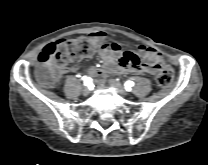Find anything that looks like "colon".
Here are the masks:
<instances>
[{"instance_id":"obj_1","label":"colon","mask_w":208,"mask_h":165,"mask_svg":"<svg viewBox=\"0 0 208 165\" xmlns=\"http://www.w3.org/2000/svg\"><path fill=\"white\" fill-rule=\"evenodd\" d=\"M95 51V44L90 38H64L47 45L37 57L36 75L40 82L53 86L58 78L59 70L89 56ZM134 58L133 53L126 52L125 59ZM174 81V71L164 65L157 75V83L169 87Z\"/></svg>"}]
</instances>
